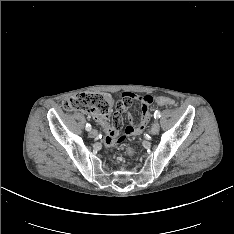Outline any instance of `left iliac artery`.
Instances as JSON below:
<instances>
[{"label":"left iliac artery","instance_id":"1","mask_svg":"<svg viewBox=\"0 0 234 234\" xmlns=\"http://www.w3.org/2000/svg\"><path fill=\"white\" fill-rule=\"evenodd\" d=\"M160 116H161V112L159 110H156L154 113V118L158 119V118H160Z\"/></svg>","mask_w":234,"mask_h":234}]
</instances>
